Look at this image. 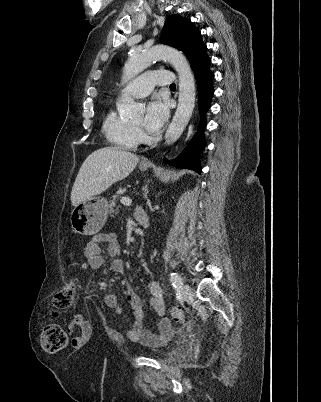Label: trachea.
<instances>
[{
  "label": "trachea",
  "instance_id": "1",
  "mask_svg": "<svg viewBox=\"0 0 321 402\" xmlns=\"http://www.w3.org/2000/svg\"><path fill=\"white\" fill-rule=\"evenodd\" d=\"M170 87H176L175 83H172V84L170 85Z\"/></svg>",
  "mask_w": 321,
  "mask_h": 402
}]
</instances>
